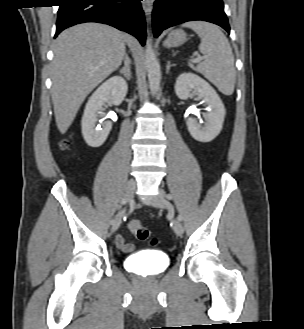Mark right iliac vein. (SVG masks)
Listing matches in <instances>:
<instances>
[{
  "label": "right iliac vein",
  "mask_w": 304,
  "mask_h": 329,
  "mask_svg": "<svg viewBox=\"0 0 304 329\" xmlns=\"http://www.w3.org/2000/svg\"><path fill=\"white\" fill-rule=\"evenodd\" d=\"M135 188H136V183L133 179L129 180L126 183L125 190H124V197L127 199V201H130L132 199V197L134 195ZM122 217H123V213L121 212L117 216L114 224H112V227H111L112 232H115L119 228V226L121 224Z\"/></svg>",
  "instance_id": "obj_1"
}]
</instances>
